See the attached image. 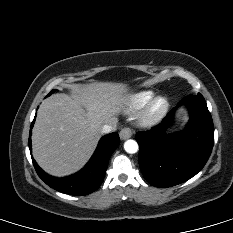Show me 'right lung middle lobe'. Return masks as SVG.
<instances>
[{
	"instance_id": "1",
	"label": "right lung middle lobe",
	"mask_w": 233,
	"mask_h": 233,
	"mask_svg": "<svg viewBox=\"0 0 233 233\" xmlns=\"http://www.w3.org/2000/svg\"><path fill=\"white\" fill-rule=\"evenodd\" d=\"M54 91H56V90H52V91L49 93V95H50L51 93H53Z\"/></svg>"
}]
</instances>
